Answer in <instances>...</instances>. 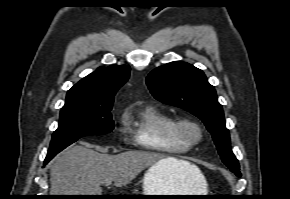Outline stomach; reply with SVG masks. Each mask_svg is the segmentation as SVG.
Masks as SVG:
<instances>
[{"label": "stomach", "instance_id": "0dacf381", "mask_svg": "<svg viewBox=\"0 0 290 199\" xmlns=\"http://www.w3.org/2000/svg\"><path fill=\"white\" fill-rule=\"evenodd\" d=\"M185 182L177 175L168 173L157 163L152 165L143 177V195H204L206 192V180L200 172L189 184V190L178 192ZM158 199H196L190 197H147Z\"/></svg>", "mask_w": 290, "mask_h": 199}]
</instances>
